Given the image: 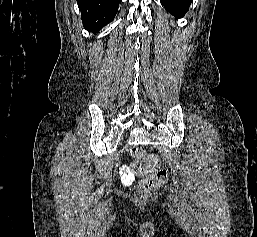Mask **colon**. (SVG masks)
<instances>
[{
    "label": "colon",
    "instance_id": "obj_1",
    "mask_svg": "<svg viewBox=\"0 0 257 237\" xmlns=\"http://www.w3.org/2000/svg\"><path fill=\"white\" fill-rule=\"evenodd\" d=\"M128 152L135 159V172L142 177L138 184V191L141 194H148L167 182L168 173L160 167V161L156 156L146 159L145 150L138 146L130 147Z\"/></svg>",
    "mask_w": 257,
    "mask_h": 237
}]
</instances>
